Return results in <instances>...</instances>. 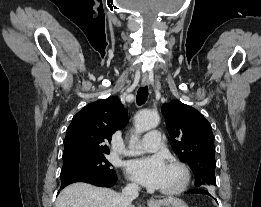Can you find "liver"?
<instances>
[{
  "label": "liver",
  "instance_id": "liver-1",
  "mask_svg": "<svg viewBox=\"0 0 261 207\" xmlns=\"http://www.w3.org/2000/svg\"><path fill=\"white\" fill-rule=\"evenodd\" d=\"M118 197L119 194L109 188L77 182L60 192L55 207H119Z\"/></svg>",
  "mask_w": 261,
  "mask_h": 207
}]
</instances>
